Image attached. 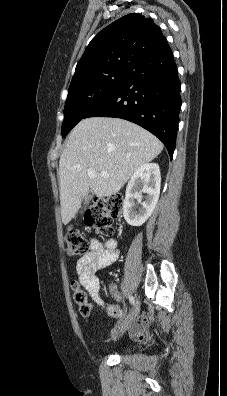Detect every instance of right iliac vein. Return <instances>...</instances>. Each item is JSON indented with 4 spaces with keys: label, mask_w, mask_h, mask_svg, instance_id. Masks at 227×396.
Returning <instances> with one entry per match:
<instances>
[{
    "label": "right iliac vein",
    "mask_w": 227,
    "mask_h": 396,
    "mask_svg": "<svg viewBox=\"0 0 227 396\" xmlns=\"http://www.w3.org/2000/svg\"><path fill=\"white\" fill-rule=\"evenodd\" d=\"M140 310V302L137 299L136 302L134 303V307L131 310L130 314L128 315L126 321L122 325V331H125L128 329L130 324L133 322V320L137 317L138 313Z\"/></svg>",
    "instance_id": "1"
}]
</instances>
